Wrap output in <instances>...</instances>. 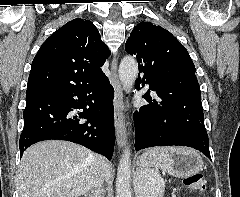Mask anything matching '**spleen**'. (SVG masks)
<instances>
[{
	"label": "spleen",
	"instance_id": "1",
	"mask_svg": "<svg viewBox=\"0 0 240 197\" xmlns=\"http://www.w3.org/2000/svg\"><path fill=\"white\" fill-rule=\"evenodd\" d=\"M176 148H153L154 152H158L160 157H167L170 151ZM146 193L145 197H162L164 193V181L160 177L157 169H150L145 172Z\"/></svg>",
	"mask_w": 240,
	"mask_h": 197
}]
</instances>
